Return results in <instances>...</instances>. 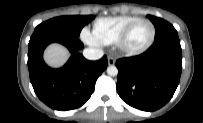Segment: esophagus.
Returning a JSON list of instances; mask_svg holds the SVG:
<instances>
[{"instance_id": "1", "label": "esophagus", "mask_w": 203, "mask_h": 123, "mask_svg": "<svg viewBox=\"0 0 203 123\" xmlns=\"http://www.w3.org/2000/svg\"><path fill=\"white\" fill-rule=\"evenodd\" d=\"M115 64V59L111 56L108 57V65H114Z\"/></svg>"}]
</instances>
